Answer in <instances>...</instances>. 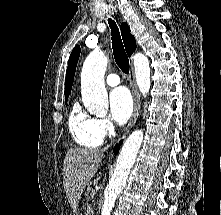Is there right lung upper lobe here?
I'll use <instances>...</instances> for the list:
<instances>
[{
  "label": "right lung upper lobe",
  "mask_w": 221,
  "mask_h": 215,
  "mask_svg": "<svg viewBox=\"0 0 221 215\" xmlns=\"http://www.w3.org/2000/svg\"><path fill=\"white\" fill-rule=\"evenodd\" d=\"M121 34L124 42V46L126 49V52L128 56L130 57L131 54L136 49V41L133 35L130 33V28L126 23L121 24ZM80 55V46H76L69 57L68 67L66 70V80H65V98H68V96L71 93L74 75L76 71L77 62Z\"/></svg>",
  "instance_id": "obj_1"
}]
</instances>
